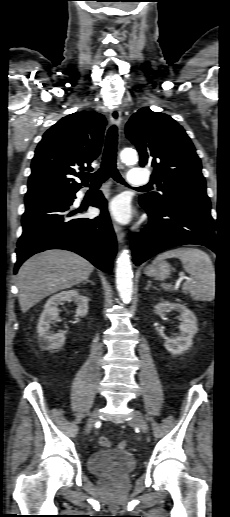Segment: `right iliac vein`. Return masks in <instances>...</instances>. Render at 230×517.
<instances>
[{"instance_id":"obj_1","label":"right iliac vein","mask_w":230,"mask_h":517,"mask_svg":"<svg viewBox=\"0 0 230 517\" xmlns=\"http://www.w3.org/2000/svg\"><path fill=\"white\" fill-rule=\"evenodd\" d=\"M98 417H99V410L98 409H95L89 419H88V422H87V426H86V432H90L92 427L94 426L95 422L98 420Z\"/></svg>"}]
</instances>
